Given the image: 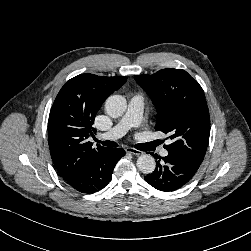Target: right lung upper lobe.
Listing matches in <instances>:
<instances>
[{
  "instance_id": "right-lung-upper-lobe-1",
  "label": "right lung upper lobe",
  "mask_w": 251,
  "mask_h": 251,
  "mask_svg": "<svg viewBox=\"0 0 251 251\" xmlns=\"http://www.w3.org/2000/svg\"><path fill=\"white\" fill-rule=\"evenodd\" d=\"M127 78L81 74L59 91L48 121V142L52 161L66 181L78 171L90 155L107 149L88 141L94 118L102 103L118 90Z\"/></svg>"
}]
</instances>
